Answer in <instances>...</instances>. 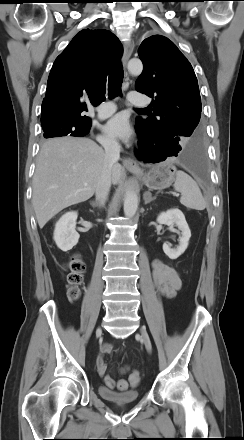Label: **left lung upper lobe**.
<instances>
[{
  "instance_id": "5c2ea615",
  "label": "left lung upper lobe",
  "mask_w": 244,
  "mask_h": 440,
  "mask_svg": "<svg viewBox=\"0 0 244 440\" xmlns=\"http://www.w3.org/2000/svg\"><path fill=\"white\" fill-rule=\"evenodd\" d=\"M138 54L144 68L135 88L153 101L148 106L149 117H139L136 124L155 129L167 141L177 144L181 137L200 138L201 98L190 62L173 42L161 35L146 38Z\"/></svg>"
}]
</instances>
